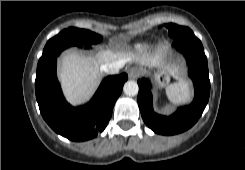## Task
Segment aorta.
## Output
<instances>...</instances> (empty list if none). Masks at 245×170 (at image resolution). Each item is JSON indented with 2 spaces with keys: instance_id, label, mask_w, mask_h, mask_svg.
Returning a JSON list of instances; mask_svg holds the SVG:
<instances>
[{
  "instance_id": "762f6f07",
  "label": "aorta",
  "mask_w": 245,
  "mask_h": 170,
  "mask_svg": "<svg viewBox=\"0 0 245 170\" xmlns=\"http://www.w3.org/2000/svg\"><path fill=\"white\" fill-rule=\"evenodd\" d=\"M123 91L128 96H135V95H137L138 94V91H139V87H138L137 82L132 81V80L127 81L124 84Z\"/></svg>"
}]
</instances>
